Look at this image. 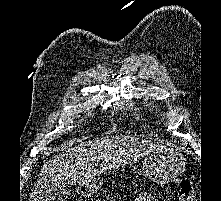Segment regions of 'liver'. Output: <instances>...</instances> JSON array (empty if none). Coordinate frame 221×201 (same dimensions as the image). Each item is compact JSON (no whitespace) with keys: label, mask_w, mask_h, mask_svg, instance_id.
<instances>
[{"label":"liver","mask_w":221,"mask_h":201,"mask_svg":"<svg viewBox=\"0 0 221 201\" xmlns=\"http://www.w3.org/2000/svg\"><path fill=\"white\" fill-rule=\"evenodd\" d=\"M70 144L76 146L51 158L43 165L35 189L31 193L32 201H48L53 190L61 185L81 186L105 170L131 165L144 156L166 148L123 135L86 142L78 139ZM99 161H102L100 170L96 168Z\"/></svg>","instance_id":"1"}]
</instances>
